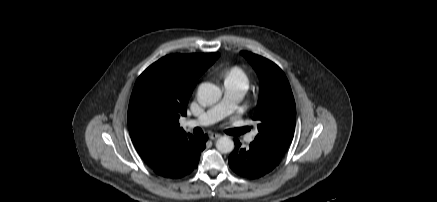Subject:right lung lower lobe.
<instances>
[{"label":"right lung lower lobe","mask_w":437,"mask_h":202,"mask_svg":"<svg viewBox=\"0 0 437 202\" xmlns=\"http://www.w3.org/2000/svg\"><path fill=\"white\" fill-rule=\"evenodd\" d=\"M207 135H190L172 153L162 159L153 171L165 178L178 179L190 174L197 168L201 151L206 147Z\"/></svg>","instance_id":"1"}]
</instances>
